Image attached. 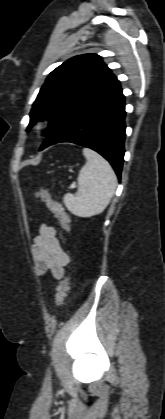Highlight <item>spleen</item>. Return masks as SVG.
<instances>
[{"instance_id":"obj_1","label":"spleen","mask_w":165,"mask_h":419,"mask_svg":"<svg viewBox=\"0 0 165 419\" xmlns=\"http://www.w3.org/2000/svg\"><path fill=\"white\" fill-rule=\"evenodd\" d=\"M87 159L78 175V191L65 194L66 208L79 217H91L102 213L114 195L117 178L110 164L97 152L83 149Z\"/></svg>"}]
</instances>
